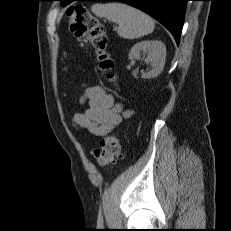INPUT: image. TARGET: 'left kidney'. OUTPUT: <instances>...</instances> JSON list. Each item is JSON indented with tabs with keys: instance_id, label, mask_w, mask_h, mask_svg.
Returning a JSON list of instances; mask_svg holds the SVG:
<instances>
[{
	"instance_id": "1",
	"label": "left kidney",
	"mask_w": 231,
	"mask_h": 231,
	"mask_svg": "<svg viewBox=\"0 0 231 231\" xmlns=\"http://www.w3.org/2000/svg\"><path fill=\"white\" fill-rule=\"evenodd\" d=\"M147 53V61L152 69L147 73H142L143 78L157 77L164 68L166 58V47L158 40H148L136 43L129 52V60L135 59L141 52Z\"/></svg>"
}]
</instances>
